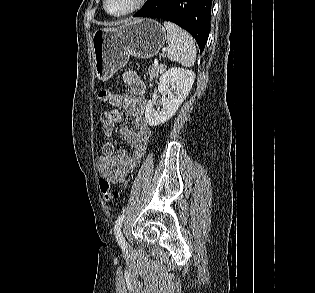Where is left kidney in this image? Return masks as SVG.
<instances>
[{"label": "left kidney", "instance_id": "left-kidney-1", "mask_svg": "<svg viewBox=\"0 0 315 293\" xmlns=\"http://www.w3.org/2000/svg\"><path fill=\"white\" fill-rule=\"evenodd\" d=\"M195 73L179 67L167 70L159 79L158 90L163 94L161 109L155 110V98L149 100L145 109V118L150 126L168 121L188 96L194 83Z\"/></svg>", "mask_w": 315, "mask_h": 293}]
</instances>
